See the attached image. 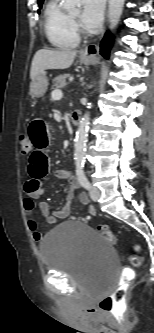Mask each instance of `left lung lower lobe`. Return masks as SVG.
Returning <instances> with one entry per match:
<instances>
[{
  "label": "left lung lower lobe",
  "mask_w": 154,
  "mask_h": 333,
  "mask_svg": "<svg viewBox=\"0 0 154 333\" xmlns=\"http://www.w3.org/2000/svg\"><path fill=\"white\" fill-rule=\"evenodd\" d=\"M112 44V39L109 33H107L105 35V38L102 40L101 42V55H103L105 58H108V54H109V49L111 47Z\"/></svg>",
  "instance_id": "1"
}]
</instances>
